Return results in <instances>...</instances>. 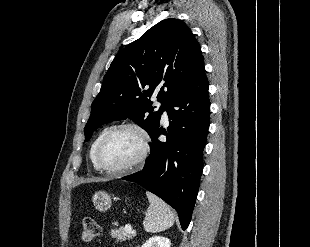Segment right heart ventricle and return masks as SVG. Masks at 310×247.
I'll return each instance as SVG.
<instances>
[{"instance_id":"obj_1","label":"right heart ventricle","mask_w":310,"mask_h":247,"mask_svg":"<svg viewBox=\"0 0 310 247\" xmlns=\"http://www.w3.org/2000/svg\"><path fill=\"white\" fill-rule=\"evenodd\" d=\"M110 128L107 127V128H104L103 130H101L99 132V134L96 136V138L94 139V141L92 142L91 144V147H90V152H89V156H90V160L94 166V168L96 169H99L95 163V159H94V155H95V150H96V147L98 145V143L100 142V140L102 139V137L105 135V133L109 130Z\"/></svg>"}]
</instances>
